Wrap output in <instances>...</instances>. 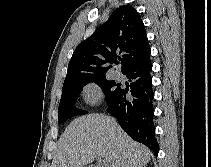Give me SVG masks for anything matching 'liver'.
Instances as JSON below:
<instances>
[{
	"mask_svg": "<svg viewBox=\"0 0 211 167\" xmlns=\"http://www.w3.org/2000/svg\"><path fill=\"white\" fill-rule=\"evenodd\" d=\"M152 152L133 141L115 119L89 114L73 120L60 137L51 167H83L103 158L105 167H143Z\"/></svg>",
	"mask_w": 211,
	"mask_h": 167,
	"instance_id": "6515ba94",
	"label": "liver"
}]
</instances>
